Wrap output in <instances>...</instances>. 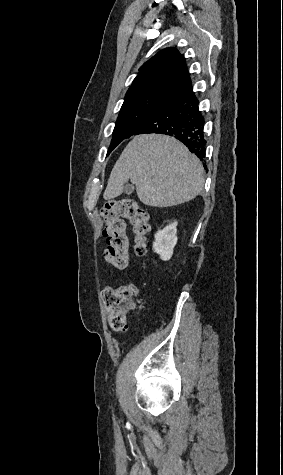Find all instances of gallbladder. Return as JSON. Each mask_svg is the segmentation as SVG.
<instances>
[{
  "instance_id": "obj_1",
  "label": "gallbladder",
  "mask_w": 283,
  "mask_h": 475,
  "mask_svg": "<svg viewBox=\"0 0 283 475\" xmlns=\"http://www.w3.org/2000/svg\"><path fill=\"white\" fill-rule=\"evenodd\" d=\"M124 192L125 194H132V192H134L133 184H127V186L124 188Z\"/></svg>"
}]
</instances>
